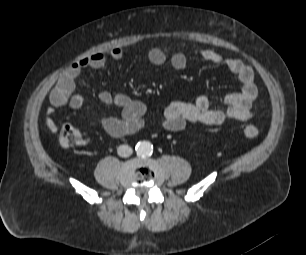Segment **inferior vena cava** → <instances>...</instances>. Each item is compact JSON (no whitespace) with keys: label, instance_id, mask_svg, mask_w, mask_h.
Listing matches in <instances>:
<instances>
[{"label":"inferior vena cava","instance_id":"1","mask_svg":"<svg viewBox=\"0 0 306 255\" xmlns=\"http://www.w3.org/2000/svg\"><path fill=\"white\" fill-rule=\"evenodd\" d=\"M133 150L128 145H120L117 148V153L120 157H129L132 154Z\"/></svg>","mask_w":306,"mask_h":255}]
</instances>
